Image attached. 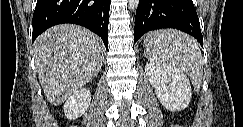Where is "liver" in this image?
Masks as SVG:
<instances>
[{
    "instance_id": "1",
    "label": "liver",
    "mask_w": 243,
    "mask_h": 127,
    "mask_svg": "<svg viewBox=\"0 0 243 127\" xmlns=\"http://www.w3.org/2000/svg\"><path fill=\"white\" fill-rule=\"evenodd\" d=\"M34 49L40 84L54 106L91 81L102 66L101 39L74 24L48 29L36 39Z\"/></svg>"
}]
</instances>
